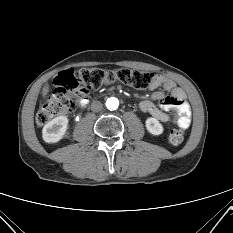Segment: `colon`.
<instances>
[{"label": "colon", "mask_w": 233, "mask_h": 233, "mask_svg": "<svg viewBox=\"0 0 233 233\" xmlns=\"http://www.w3.org/2000/svg\"><path fill=\"white\" fill-rule=\"evenodd\" d=\"M154 74L122 68L104 70L81 68L64 70L55 79V90L46 99L36 115V122L42 126L54 117L74 111L90 91L116 82L136 89H147L154 80ZM185 137L184 129L172 130L166 141L174 146L181 144Z\"/></svg>", "instance_id": "5ec220e1"}]
</instances>
